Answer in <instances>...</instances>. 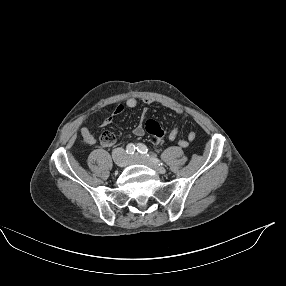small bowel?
<instances>
[{
	"instance_id": "c3829d8e",
	"label": "small bowel",
	"mask_w": 286,
	"mask_h": 286,
	"mask_svg": "<svg viewBox=\"0 0 286 286\" xmlns=\"http://www.w3.org/2000/svg\"><path fill=\"white\" fill-rule=\"evenodd\" d=\"M152 102H153V100L150 98H146L143 100V103L146 105H150ZM137 106H138V100L136 98H134V97L128 98L126 100L125 104H119L115 108L113 113L103 120L102 125L103 126L110 125L113 122L114 118L116 116L121 115L125 111V109L134 110ZM173 110L180 116L181 121H183L186 118V113L182 109L174 107ZM179 130H180V125H177L173 129H171V131L168 133V139L170 141L176 140V138L179 134ZM80 133H81L82 138L84 139V141L87 144L93 145L96 143L95 136L90 132V130L87 127H82L80 129ZM133 133L137 137H141L145 134V125H144L142 120L134 127ZM195 138H196V133L194 131H190L188 133L186 139H180L178 141V145L181 148H187L189 146V144L195 140ZM103 145L105 147H109L112 144L111 145L103 144Z\"/></svg>"
}]
</instances>
